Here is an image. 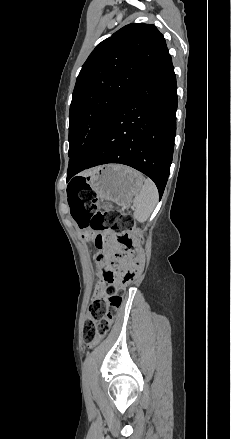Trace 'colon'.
Returning a JSON list of instances; mask_svg holds the SVG:
<instances>
[{
  "label": "colon",
  "instance_id": "1",
  "mask_svg": "<svg viewBox=\"0 0 231 439\" xmlns=\"http://www.w3.org/2000/svg\"><path fill=\"white\" fill-rule=\"evenodd\" d=\"M67 195L72 216L81 229L95 232L96 243L107 242L109 235L106 231L111 229L116 233V241L120 246V250L106 257L103 276L107 286L89 307L84 339L91 344L107 334L121 304L123 288L137 278L142 266L140 243L143 237L130 214L108 206L99 211L95 203L96 193L86 180L79 179L70 183ZM123 261L127 263L125 267Z\"/></svg>",
  "mask_w": 231,
  "mask_h": 439
}]
</instances>
